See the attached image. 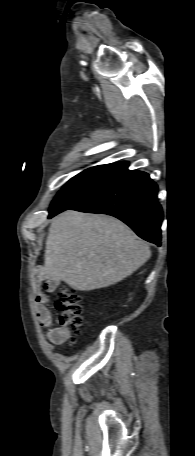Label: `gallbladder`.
<instances>
[{
	"instance_id": "obj_1",
	"label": "gallbladder",
	"mask_w": 195,
	"mask_h": 456,
	"mask_svg": "<svg viewBox=\"0 0 195 456\" xmlns=\"http://www.w3.org/2000/svg\"><path fill=\"white\" fill-rule=\"evenodd\" d=\"M48 284L50 285V287L54 288L57 285V282L53 281L52 279H49Z\"/></svg>"
}]
</instances>
